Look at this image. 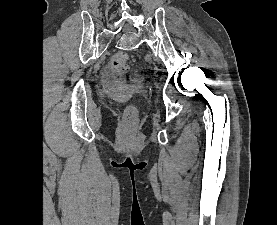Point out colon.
<instances>
[{"instance_id": "colon-1", "label": "colon", "mask_w": 277, "mask_h": 225, "mask_svg": "<svg viewBox=\"0 0 277 225\" xmlns=\"http://www.w3.org/2000/svg\"><path fill=\"white\" fill-rule=\"evenodd\" d=\"M109 69L115 75L116 82H125L126 80L135 81L138 79L137 75L130 74L128 77L126 74L129 70V57L126 53H117L111 57L109 61ZM137 119V109L133 105H128L123 114L124 126L126 129L134 127Z\"/></svg>"}]
</instances>
